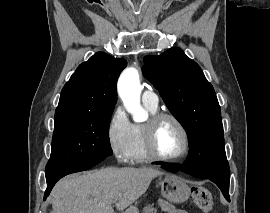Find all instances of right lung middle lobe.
<instances>
[{"instance_id": "right-lung-middle-lobe-1", "label": "right lung middle lobe", "mask_w": 270, "mask_h": 213, "mask_svg": "<svg viewBox=\"0 0 270 213\" xmlns=\"http://www.w3.org/2000/svg\"><path fill=\"white\" fill-rule=\"evenodd\" d=\"M112 112L55 114L52 150L46 171L105 159L112 155L108 130Z\"/></svg>"}]
</instances>
